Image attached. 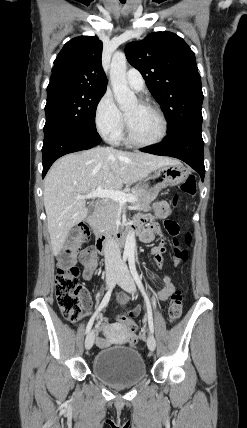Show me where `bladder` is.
<instances>
[{"label": "bladder", "instance_id": "obj_1", "mask_svg": "<svg viewBox=\"0 0 247 428\" xmlns=\"http://www.w3.org/2000/svg\"><path fill=\"white\" fill-rule=\"evenodd\" d=\"M92 372L109 385L126 386L145 377L146 365L137 350L126 346H113L100 350L95 355Z\"/></svg>", "mask_w": 247, "mask_h": 428}]
</instances>
